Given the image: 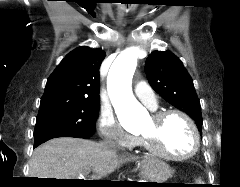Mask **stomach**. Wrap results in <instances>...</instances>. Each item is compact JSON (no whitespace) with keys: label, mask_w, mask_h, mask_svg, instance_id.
Listing matches in <instances>:
<instances>
[{"label":"stomach","mask_w":240,"mask_h":187,"mask_svg":"<svg viewBox=\"0 0 240 187\" xmlns=\"http://www.w3.org/2000/svg\"><path fill=\"white\" fill-rule=\"evenodd\" d=\"M141 168L143 177L149 180L147 182H156L151 184L164 183L172 173L166 162L156 158L143 160Z\"/></svg>","instance_id":"stomach-1"}]
</instances>
